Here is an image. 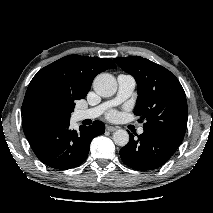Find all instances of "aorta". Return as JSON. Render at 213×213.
Wrapping results in <instances>:
<instances>
[{"label": "aorta", "mask_w": 213, "mask_h": 213, "mask_svg": "<svg viewBox=\"0 0 213 213\" xmlns=\"http://www.w3.org/2000/svg\"><path fill=\"white\" fill-rule=\"evenodd\" d=\"M94 91L102 97H111L116 93L117 81L108 73L97 75L93 81ZM113 141L118 146H125L129 142V134L126 130L119 129L113 133Z\"/></svg>", "instance_id": "1"}]
</instances>
